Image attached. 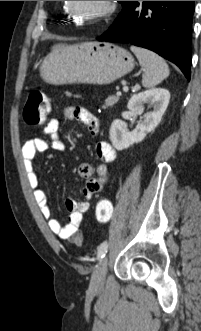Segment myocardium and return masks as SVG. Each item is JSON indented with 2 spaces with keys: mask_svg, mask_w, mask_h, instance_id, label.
<instances>
[{
  "mask_svg": "<svg viewBox=\"0 0 201 331\" xmlns=\"http://www.w3.org/2000/svg\"><path fill=\"white\" fill-rule=\"evenodd\" d=\"M73 1H68V8L74 14L75 17L81 18L86 22H98L111 16L116 10V1H104V6L101 11L91 16L80 15L75 12L73 8Z\"/></svg>",
  "mask_w": 201,
  "mask_h": 331,
  "instance_id": "1",
  "label": "myocardium"
}]
</instances>
